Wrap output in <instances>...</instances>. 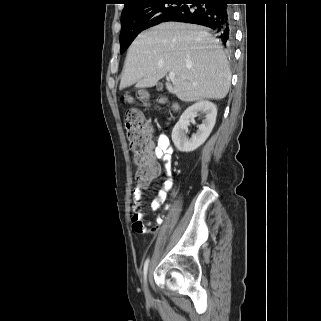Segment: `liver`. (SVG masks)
I'll return each instance as SVG.
<instances>
[{"instance_id": "1", "label": "liver", "mask_w": 321, "mask_h": 321, "mask_svg": "<svg viewBox=\"0 0 321 321\" xmlns=\"http://www.w3.org/2000/svg\"><path fill=\"white\" fill-rule=\"evenodd\" d=\"M167 90L185 102L223 99L231 72L218 39L197 25L166 22L141 33L128 49L120 89L153 87L167 73Z\"/></svg>"}]
</instances>
